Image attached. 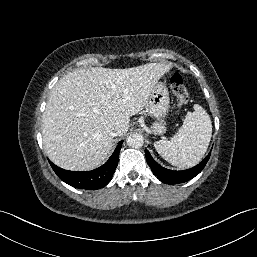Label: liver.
I'll use <instances>...</instances> for the list:
<instances>
[{
	"instance_id": "obj_1",
	"label": "liver",
	"mask_w": 257,
	"mask_h": 257,
	"mask_svg": "<svg viewBox=\"0 0 257 257\" xmlns=\"http://www.w3.org/2000/svg\"><path fill=\"white\" fill-rule=\"evenodd\" d=\"M170 68L147 63L127 69H76L63 76L43 114V145L49 159L72 171L103 164L113 146L109 132L128 131L130 116L145 107L153 86Z\"/></svg>"
}]
</instances>
